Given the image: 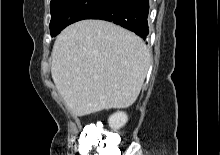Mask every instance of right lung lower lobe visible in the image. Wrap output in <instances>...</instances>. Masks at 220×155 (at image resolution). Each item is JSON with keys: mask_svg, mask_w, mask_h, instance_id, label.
<instances>
[{"mask_svg": "<svg viewBox=\"0 0 220 155\" xmlns=\"http://www.w3.org/2000/svg\"><path fill=\"white\" fill-rule=\"evenodd\" d=\"M148 12V0H118L112 5L89 15L86 19H101L113 22L133 31L142 38H146L149 33L147 25Z\"/></svg>", "mask_w": 220, "mask_h": 155, "instance_id": "1", "label": "right lung lower lobe"}]
</instances>
